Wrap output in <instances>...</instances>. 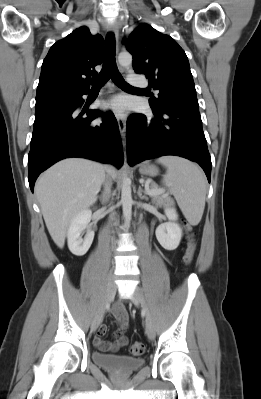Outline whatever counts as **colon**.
<instances>
[{"mask_svg":"<svg viewBox=\"0 0 261 399\" xmlns=\"http://www.w3.org/2000/svg\"><path fill=\"white\" fill-rule=\"evenodd\" d=\"M195 232L191 227H187L188 244L183 257L184 263L189 265L194 257L196 250ZM144 344L142 342H134L131 344L129 351L133 356H139L144 352Z\"/></svg>","mask_w":261,"mask_h":399,"instance_id":"5ec220e1","label":"colon"}]
</instances>
